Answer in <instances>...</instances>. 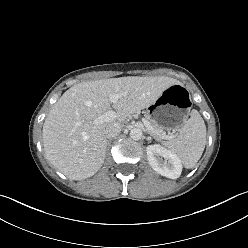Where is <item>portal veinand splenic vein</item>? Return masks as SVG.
<instances>
[{"mask_svg": "<svg viewBox=\"0 0 248 248\" xmlns=\"http://www.w3.org/2000/svg\"><path fill=\"white\" fill-rule=\"evenodd\" d=\"M120 97L121 95L119 94H112L109 96V100L111 101V103H116ZM114 118H116V113L113 110L109 109L103 115L99 116L95 121L96 123H103ZM142 121L146 128H151L149 121H147L146 119H142ZM163 138L167 139L171 137L168 135H164Z\"/></svg>", "mask_w": 248, "mask_h": 248, "instance_id": "18ae733b", "label": "portal vein and splenic vein"}]
</instances>
